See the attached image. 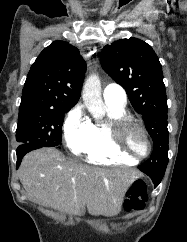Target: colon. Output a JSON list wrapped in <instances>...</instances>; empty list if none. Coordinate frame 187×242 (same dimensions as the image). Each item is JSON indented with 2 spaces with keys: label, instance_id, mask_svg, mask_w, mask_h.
Returning <instances> with one entry per match:
<instances>
[{
  "label": "colon",
  "instance_id": "1",
  "mask_svg": "<svg viewBox=\"0 0 187 242\" xmlns=\"http://www.w3.org/2000/svg\"><path fill=\"white\" fill-rule=\"evenodd\" d=\"M148 202L147 184L143 180H136L129 188L124 208L127 212L141 211Z\"/></svg>",
  "mask_w": 187,
  "mask_h": 242
}]
</instances>
